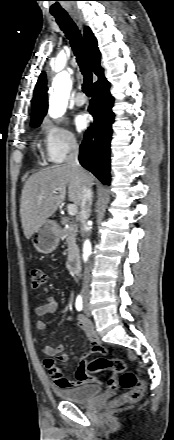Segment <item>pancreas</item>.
I'll use <instances>...</instances> for the list:
<instances>
[{"instance_id": "pancreas-1", "label": "pancreas", "mask_w": 174, "mask_h": 440, "mask_svg": "<svg viewBox=\"0 0 174 440\" xmlns=\"http://www.w3.org/2000/svg\"><path fill=\"white\" fill-rule=\"evenodd\" d=\"M77 225L70 221L66 227L61 230V237L66 239L68 245V257L71 258L78 253L76 245Z\"/></svg>"}]
</instances>
